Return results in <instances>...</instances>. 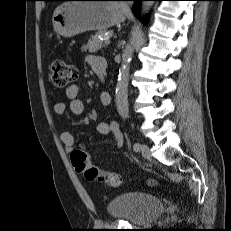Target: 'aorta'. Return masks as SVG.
<instances>
[{
  "label": "aorta",
  "mask_w": 231,
  "mask_h": 231,
  "mask_svg": "<svg viewBox=\"0 0 231 231\" xmlns=\"http://www.w3.org/2000/svg\"><path fill=\"white\" fill-rule=\"evenodd\" d=\"M153 2L152 1H144L141 5V16L146 14ZM135 34L133 33V38L128 47H126L122 54V63L119 70L118 81L116 85V108L119 115L122 118L128 117L129 105H128V82H129V69H130V61L133 55Z\"/></svg>",
  "instance_id": "obj_1"
}]
</instances>
